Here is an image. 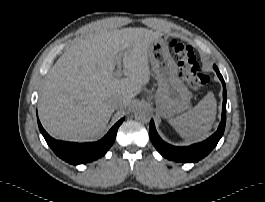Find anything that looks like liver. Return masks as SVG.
Here are the masks:
<instances>
[{
	"label": "liver",
	"mask_w": 265,
	"mask_h": 202,
	"mask_svg": "<svg viewBox=\"0 0 265 202\" xmlns=\"http://www.w3.org/2000/svg\"><path fill=\"white\" fill-rule=\"evenodd\" d=\"M162 34L146 28L95 32L78 38L50 69L38 101L45 130L54 138L85 142L99 137L114 112L108 99L122 97L124 106L150 80L148 47ZM123 56L126 78L113 75Z\"/></svg>",
	"instance_id": "6515ba94"
}]
</instances>
